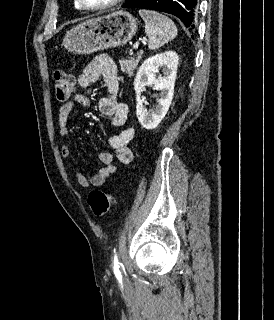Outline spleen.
<instances>
[{
  "label": "spleen",
  "mask_w": 274,
  "mask_h": 320,
  "mask_svg": "<svg viewBox=\"0 0 274 320\" xmlns=\"http://www.w3.org/2000/svg\"><path fill=\"white\" fill-rule=\"evenodd\" d=\"M139 16L145 22V34H147L148 48L158 50L177 36V28L167 16H162L153 10H139Z\"/></svg>",
  "instance_id": "3e777b00"
}]
</instances>
